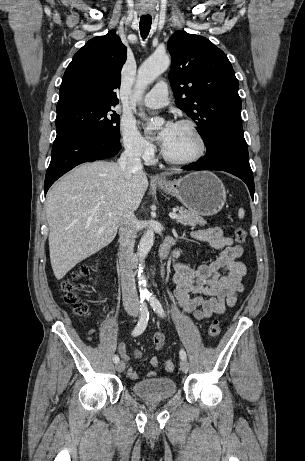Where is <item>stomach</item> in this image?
I'll return each mask as SVG.
<instances>
[{"label": "stomach", "instance_id": "1", "mask_svg": "<svg viewBox=\"0 0 305 461\" xmlns=\"http://www.w3.org/2000/svg\"><path fill=\"white\" fill-rule=\"evenodd\" d=\"M163 191L177 198L189 211L198 215L217 214L226 202L221 180L212 172H192L183 178L156 183Z\"/></svg>", "mask_w": 305, "mask_h": 461}]
</instances>
